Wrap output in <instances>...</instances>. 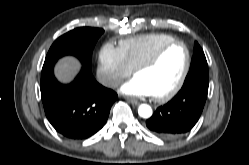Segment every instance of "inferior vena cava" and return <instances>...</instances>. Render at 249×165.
I'll use <instances>...</instances> for the list:
<instances>
[{
    "instance_id": "obj_1",
    "label": "inferior vena cava",
    "mask_w": 249,
    "mask_h": 165,
    "mask_svg": "<svg viewBox=\"0 0 249 165\" xmlns=\"http://www.w3.org/2000/svg\"><path fill=\"white\" fill-rule=\"evenodd\" d=\"M104 84L109 87H117L121 84V81L118 79H108Z\"/></svg>"
}]
</instances>
